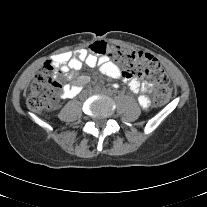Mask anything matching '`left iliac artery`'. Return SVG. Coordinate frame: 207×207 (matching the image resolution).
<instances>
[{
	"instance_id": "44dca946",
	"label": "left iliac artery",
	"mask_w": 207,
	"mask_h": 207,
	"mask_svg": "<svg viewBox=\"0 0 207 207\" xmlns=\"http://www.w3.org/2000/svg\"><path fill=\"white\" fill-rule=\"evenodd\" d=\"M116 87H118V85H116ZM107 93H108L109 95H111V94H112V91H111V90H107Z\"/></svg>"
}]
</instances>
